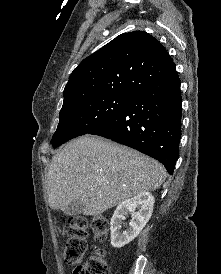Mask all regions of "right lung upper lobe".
Segmentation results:
<instances>
[{
	"label": "right lung upper lobe",
	"mask_w": 221,
	"mask_h": 274,
	"mask_svg": "<svg viewBox=\"0 0 221 274\" xmlns=\"http://www.w3.org/2000/svg\"><path fill=\"white\" fill-rule=\"evenodd\" d=\"M175 68L163 45L144 31L124 33L71 73L64 102L102 95L134 96Z\"/></svg>",
	"instance_id": "obj_1"
}]
</instances>
